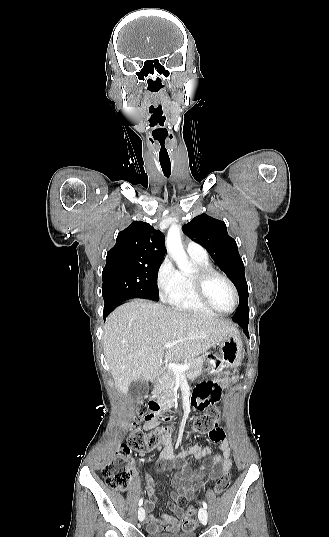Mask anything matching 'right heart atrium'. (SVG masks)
<instances>
[{
  "label": "right heart atrium",
  "mask_w": 329,
  "mask_h": 537,
  "mask_svg": "<svg viewBox=\"0 0 329 537\" xmlns=\"http://www.w3.org/2000/svg\"><path fill=\"white\" fill-rule=\"evenodd\" d=\"M156 285L161 299L171 300L181 288V275L169 258H165L156 273Z\"/></svg>",
  "instance_id": "obj_1"
}]
</instances>
